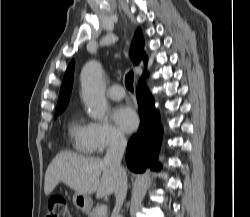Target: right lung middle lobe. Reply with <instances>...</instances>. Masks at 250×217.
Segmentation results:
<instances>
[{
  "mask_svg": "<svg viewBox=\"0 0 250 217\" xmlns=\"http://www.w3.org/2000/svg\"><path fill=\"white\" fill-rule=\"evenodd\" d=\"M57 112L62 113L63 111H56V114H57ZM55 117H56V115H55Z\"/></svg>",
  "mask_w": 250,
  "mask_h": 217,
  "instance_id": "1",
  "label": "right lung middle lobe"
}]
</instances>
